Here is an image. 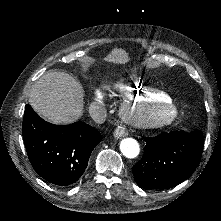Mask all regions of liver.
Wrapping results in <instances>:
<instances>
[{
  "mask_svg": "<svg viewBox=\"0 0 221 221\" xmlns=\"http://www.w3.org/2000/svg\"><path fill=\"white\" fill-rule=\"evenodd\" d=\"M120 63L118 56L103 59ZM102 90L110 85L103 82ZM29 104L35 113L54 125H69L80 120L84 113L83 92L79 83L65 72H47L33 85Z\"/></svg>",
  "mask_w": 221,
  "mask_h": 221,
  "instance_id": "liver-1",
  "label": "liver"
}]
</instances>
